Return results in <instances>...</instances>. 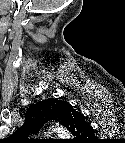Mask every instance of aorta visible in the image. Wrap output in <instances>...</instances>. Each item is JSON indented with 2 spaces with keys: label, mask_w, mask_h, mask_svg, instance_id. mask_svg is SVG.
<instances>
[{
  "label": "aorta",
  "mask_w": 125,
  "mask_h": 143,
  "mask_svg": "<svg viewBox=\"0 0 125 143\" xmlns=\"http://www.w3.org/2000/svg\"><path fill=\"white\" fill-rule=\"evenodd\" d=\"M52 129H54V131L64 132L63 128H60V127H55V128H52Z\"/></svg>",
  "instance_id": "1"
}]
</instances>
